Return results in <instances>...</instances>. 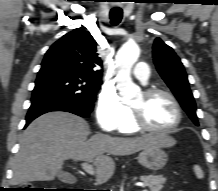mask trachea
Segmentation results:
<instances>
[{"label": "trachea", "instance_id": "3493384b", "mask_svg": "<svg viewBox=\"0 0 218 191\" xmlns=\"http://www.w3.org/2000/svg\"><path fill=\"white\" fill-rule=\"evenodd\" d=\"M122 9H112L110 11V20H111V24L116 26L121 22L122 19Z\"/></svg>", "mask_w": 218, "mask_h": 191}]
</instances>
